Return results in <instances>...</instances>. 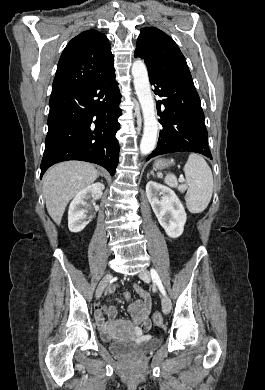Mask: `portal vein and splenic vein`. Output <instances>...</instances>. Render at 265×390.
Returning a JSON list of instances; mask_svg holds the SVG:
<instances>
[{
    "instance_id": "portal-vein-and-splenic-vein-1",
    "label": "portal vein and splenic vein",
    "mask_w": 265,
    "mask_h": 390,
    "mask_svg": "<svg viewBox=\"0 0 265 390\" xmlns=\"http://www.w3.org/2000/svg\"><path fill=\"white\" fill-rule=\"evenodd\" d=\"M184 181H185L184 177H183V176H180V177H179V182H184Z\"/></svg>"
}]
</instances>
